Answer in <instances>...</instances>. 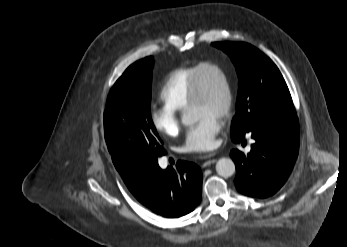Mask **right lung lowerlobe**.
I'll use <instances>...</instances> for the list:
<instances>
[{
    "instance_id": "obj_1",
    "label": "right lung lower lobe",
    "mask_w": 347,
    "mask_h": 247,
    "mask_svg": "<svg viewBox=\"0 0 347 247\" xmlns=\"http://www.w3.org/2000/svg\"><path fill=\"white\" fill-rule=\"evenodd\" d=\"M125 183L138 201L167 218L184 216L201 201V170L186 161H178L176 169L162 170L157 161L141 166Z\"/></svg>"
}]
</instances>
